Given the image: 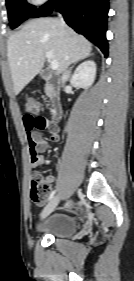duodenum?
Returning <instances> with one entry per match:
<instances>
[{"label": "duodenum", "instance_id": "obj_1", "mask_svg": "<svg viewBox=\"0 0 134 281\" xmlns=\"http://www.w3.org/2000/svg\"><path fill=\"white\" fill-rule=\"evenodd\" d=\"M48 94L53 106L52 120L58 122L61 118L59 109V84L55 81H49L47 83Z\"/></svg>", "mask_w": 134, "mask_h": 281}]
</instances>
